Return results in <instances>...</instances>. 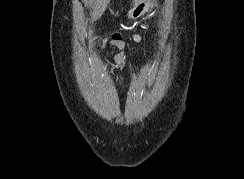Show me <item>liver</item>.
<instances>
[{
  "label": "liver",
  "mask_w": 244,
  "mask_h": 179,
  "mask_svg": "<svg viewBox=\"0 0 244 179\" xmlns=\"http://www.w3.org/2000/svg\"><path fill=\"white\" fill-rule=\"evenodd\" d=\"M109 2L110 0H96L95 10L94 12H91L93 20H96V18H100L101 14L105 12Z\"/></svg>",
  "instance_id": "6515ba94"
}]
</instances>
